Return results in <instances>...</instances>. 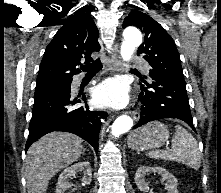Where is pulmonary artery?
<instances>
[{
    "label": "pulmonary artery",
    "mask_w": 221,
    "mask_h": 193,
    "mask_svg": "<svg viewBox=\"0 0 221 193\" xmlns=\"http://www.w3.org/2000/svg\"><path fill=\"white\" fill-rule=\"evenodd\" d=\"M133 63H135L136 65H139L140 68L145 72L148 73L150 70V67L148 64H146L141 58L135 57L133 58ZM82 80V76H78L74 79L73 81V85L77 86L80 81Z\"/></svg>",
    "instance_id": "e3ab8cb5"
}]
</instances>
